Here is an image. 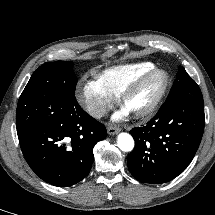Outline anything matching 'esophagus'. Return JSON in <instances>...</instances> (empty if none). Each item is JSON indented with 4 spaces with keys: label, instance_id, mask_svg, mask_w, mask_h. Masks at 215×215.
I'll list each match as a JSON object with an SVG mask.
<instances>
[{
    "label": "esophagus",
    "instance_id": "esophagus-1",
    "mask_svg": "<svg viewBox=\"0 0 215 215\" xmlns=\"http://www.w3.org/2000/svg\"><path fill=\"white\" fill-rule=\"evenodd\" d=\"M121 131V129L119 127L116 126H108L107 127V132L110 135H115L117 133H119Z\"/></svg>",
    "mask_w": 215,
    "mask_h": 215
}]
</instances>
